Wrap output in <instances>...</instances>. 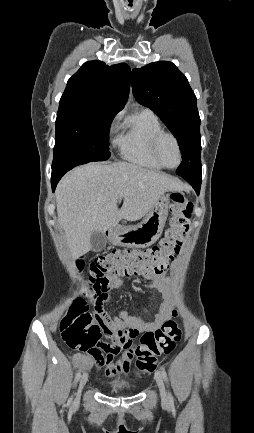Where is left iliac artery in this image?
<instances>
[{"label":"left iliac artery","instance_id":"44dca946","mask_svg":"<svg viewBox=\"0 0 254 433\" xmlns=\"http://www.w3.org/2000/svg\"><path fill=\"white\" fill-rule=\"evenodd\" d=\"M161 374H162L164 380L166 381L167 380V373L163 368H161ZM168 400H169L170 405L174 404V399H173V396L171 395L170 392L168 393Z\"/></svg>","mask_w":254,"mask_h":433}]
</instances>
